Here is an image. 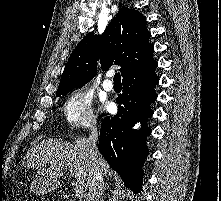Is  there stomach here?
Segmentation results:
<instances>
[{
    "label": "stomach",
    "instance_id": "stomach-1",
    "mask_svg": "<svg viewBox=\"0 0 221 201\" xmlns=\"http://www.w3.org/2000/svg\"><path fill=\"white\" fill-rule=\"evenodd\" d=\"M55 185L42 176H35L31 183L30 191L36 195H44L50 192Z\"/></svg>",
    "mask_w": 221,
    "mask_h": 201
}]
</instances>
